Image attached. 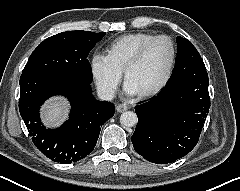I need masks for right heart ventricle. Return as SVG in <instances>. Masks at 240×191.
I'll return each instance as SVG.
<instances>
[{"mask_svg":"<svg viewBox=\"0 0 240 191\" xmlns=\"http://www.w3.org/2000/svg\"><path fill=\"white\" fill-rule=\"evenodd\" d=\"M152 37H154L153 34L145 32L120 36L107 46V56L117 68L123 71L138 49Z\"/></svg>","mask_w":240,"mask_h":191,"instance_id":"1","label":"right heart ventricle"}]
</instances>
